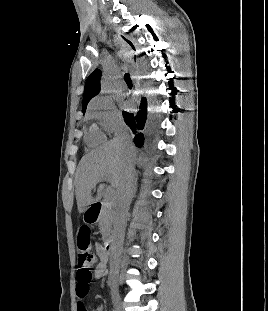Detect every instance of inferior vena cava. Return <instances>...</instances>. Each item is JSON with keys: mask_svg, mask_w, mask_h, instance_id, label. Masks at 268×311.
Listing matches in <instances>:
<instances>
[{"mask_svg": "<svg viewBox=\"0 0 268 311\" xmlns=\"http://www.w3.org/2000/svg\"><path fill=\"white\" fill-rule=\"evenodd\" d=\"M126 144L130 142L128 136L121 134L118 137ZM135 192L134 178L132 175V169L126 174V178L117 194L116 207L113 216V231H112V252L110 255V267L116 271L119 268L121 261L120 248L123 245L126 217L128 215L129 206ZM117 273V272H116ZM116 273L111 274V284L116 286Z\"/></svg>", "mask_w": 268, "mask_h": 311, "instance_id": "602c4592", "label": "inferior vena cava"}]
</instances>
